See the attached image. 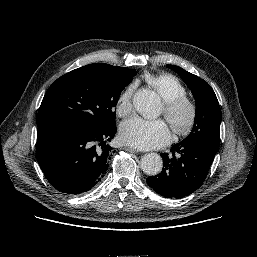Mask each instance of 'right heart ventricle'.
<instances>
[{
    "label": "right heart ventricle",
    "instance_id": "1",
    "mask_svg": "<svg viewBox=\"0 0 257 257\" xmlns=\"http://www.w3.org/2000/svg\"><path fill=\"white\" fill-rule=\"evenodd\" d=\"M146 82L154 88L164 101L186 95V89L175 76L168 73L145 75Z\"/></svg>",
    "mask_w": 257,
    "mask_h": 257
}]
</instances>
